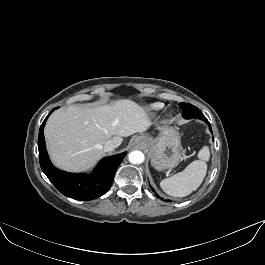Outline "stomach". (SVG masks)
<instances>
[{
  "mask_svg": "<svg viewBox=\"0 0 265 265\" xmlns=\"http://www.w3.org/2000/svg\"><path fill=\"white\" fill-rule=\"evenodd\" d=\"M136 141L149 151L151 164L157 170L175 167L181 160L180 136L173 127H164L157 138L141 135Z\"/></svg>",
  "mask_w": 265,
  "mask_h": 265,
  "instance_id": "1",
  "label": "stomach"
}]
</instances>
